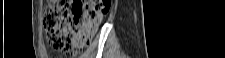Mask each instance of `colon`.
<instances>
[{
    "label": "colon",
    "mask_w": 225,
    "mask_h": 58,
    "mask_svg": "<svg viewBox=\"0 0 225 58\" xmlns=\"http://www.w3.org/2000/svg\"><path fill=\"white\" fill-rule=\"evenodd\" d=\"M109 0H51L43 18L48 44L67 56H75L93 40Z\"/></svg>",
    "instance_id": "colon-1"
}]
</instances>
